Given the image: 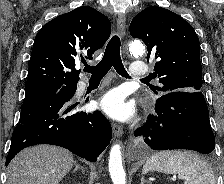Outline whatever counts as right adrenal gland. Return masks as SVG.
I'll return each instance as SVG.
<instances>
[{
	"label": "right adrenal gland",
	"instance_id": "right-adrenal-gland-1",
	"mask_svg": "<svg viewBox=\"0 0 224 184\" xmlns=\"http://www.w3.org/2000/svg\"><path fill=\"white\" fill-rule=\"evenodd\" d=\"M75 164V168L73 170V173H75L78 169L82 170V172L84 173V168L82 166H80L79 164H77L76 161H74Z\"/></svg>",
	"mask_w": 224,
	"mask_h": 184
}]
</instances>
